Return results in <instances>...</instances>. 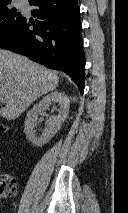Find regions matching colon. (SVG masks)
I'll use <instances>...</instances> for the list:
<instances>
[{
	"label": "colon",
	"mask_w": 128,
	"mask_h": 213,
	"mask_svg": "<svg viewBox=\"0 0 128 213\" xmlns=\"http://www.w3.org/2000/svg\"><path fill=\"white\" fill-rule=\"evenodd\" d=\"M7 128L0 124V133H3ZM16 183L15 180L6 173L0 174V197H8L15 193Z\"/></svg>",
	"instance_id": "1"
}]
</instances>
